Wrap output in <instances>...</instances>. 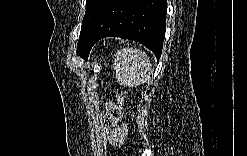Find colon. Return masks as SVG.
<instances>
[{"mask_svg":"<svg viewBox=\"0 0 247 156\" xmlns=\"http://www.w3.org/2000/svg\"><path fill=\"white\" fill-rule=\"evenodd\" d=\"M116 101H117V110L119 113H124L125 112V107H124V101H125V93L123 91H119L118 94L116 95Z\"/></svg>","mask_w":247,"mask_h":156,"instance_id":"colon-1","label":"colon"}]
</instances>
